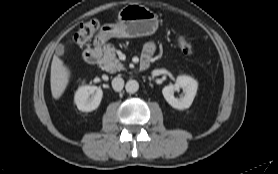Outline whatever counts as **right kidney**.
I'll list each match as a JSON object with an SVG mask.
<instances>
[{
    "mask_svg": "<svg viewBox=\"0 0 278 174\" xmlns=\"http://www.w3.org/2000/svg\"><path fill=\"white\" fill-rule=\"evenodd\" d=\"M103 96L102 89L97 86L84 85L75 93L74 102L83 112H90L98 108Z\"/></svg>",
    "mask_w": 278,
    "mask_h": 174,
    "instance_id": "right-kidney-1",
    "label": "right kidney"
}]
</instances>
